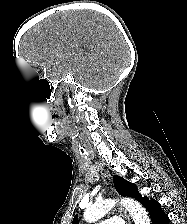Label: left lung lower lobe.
<instances>
[{
	"instance_id": "left-lung-lower-lobe-1",
	"label": "left lung lower lobe",
	"mask_w": 187,
	"mask_h": 224,
	"mask_svg": "<svg viewBox=\"0 0 187 224\" xmlns=\"http://www.w3.org/2000/svg\"><path fill=\"white\" fill-rule=\"evenodd\" d=\"M144 207L148 210L152 224H169L168 215L161 209V205L158 201L149 200L148 198L141 202Z\"/></svg>"
}]
</instances>
